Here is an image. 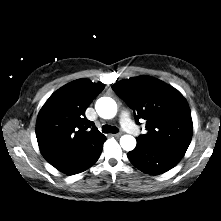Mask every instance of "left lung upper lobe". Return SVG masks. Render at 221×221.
<instances>
[{
	"instance_id": "left-lung-upper-lobe-1",
	"label": "left lung upper lobe",
	"mask_w": 221,
	"mask_h": 221,
	"mask_svg": "<svg viewBox=\"0 0 221 221\" xmlns=\"http://www.w3.org/2000/svg\"><path fill=\"white\" fill-rule=\"evenodd\" d=\"M139 119L146 120L147 133L137 144L186 152L192 138L190 108L182 94L172 86L150 76L133 77L112 86Z\"/></svg>"
}]
</instances>
